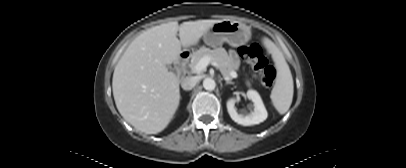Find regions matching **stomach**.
I'll return each mask as SVG.
<instances>
[{"label":"stomach","mask_w":406,"mask_h":168,"mask_svg":"<svg viewBox=\"0 0 406 168\" xmlns=\"http://www.w3.org/2000/svg\"><path fill=\"white\" fill-rule=\"evenodd\" d=\"M251 38L250 28L239 21L222 20L215 23L204 35V42L217 47L224 42L230 46L239 47L246 44Z\"/></svg>","instance_id":"obj_1"}]
</instances>
